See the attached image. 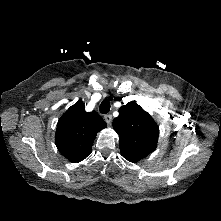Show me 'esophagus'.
Returning a JSON list of instances; mask_svg holds the SVG:
<instances>
[{"label": "esophagus", "mask_w": 221, "mask_h": 221, "mask_svg": "<svg viewBox=\"0 0 221 221\" xmlns=\"http://www.w3.org/2000/svg\"><path fill=\"white\" fill-rule=\"evenodd\" d=\"M104 120L106 121L107 124H110L112 121V115L110 114L104 115Z\"/></svg>", "instance_id": "obj_1"}]
</instances>
